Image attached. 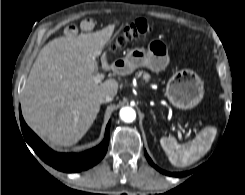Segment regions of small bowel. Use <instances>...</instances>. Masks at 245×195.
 <instances>
[{
  "mask_svg": "<svg viewBox=\"0 0 245 195\" xmlns=\"http://www.w3.org/2000/svg\"><path fill=\"white\" fill-rule=\"evenodd\" d=\"M95 26H96V20L93 18H86L80 24V28L83 31H90L94 29ZM77 32H78V28L72 24L68 25L64 30L65 35L68 37L75 36Z\"/></svg>",
  "mask_w": 245,
  "mask_h": 195,
  "instance_id": "1",
  "label": "small bowel"
}]
</instances>
